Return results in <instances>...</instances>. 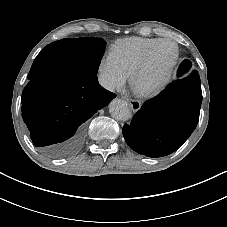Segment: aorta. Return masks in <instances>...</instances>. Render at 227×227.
I'll return each instance as SVG.
<instances>
[{
	"mask_svg": "<svg viewBox=\"0 0 227 227\" xmlns=\"http://www.w3.org/2000/svg\"><path fill=\"white\" fill-rule=\"evenodd\" d=\"M109 112L113 118L126 121L131 117V111L126 101L114 99L109 104Z\"/></svg>",
	"mask_w": 227,
	"mask_h": 227,
	"instance_id": "762f6f07",
	"label": "aorta"
}]
</instances>
